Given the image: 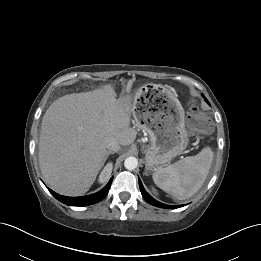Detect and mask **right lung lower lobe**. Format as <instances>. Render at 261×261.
Here are the masks:
<instances>
[{"mask_svg": "<svg viewBox=\"0 0 261 261\" xmlns=\"http://www.w3.org/2000/svg\"><path fill=\"white\" fill-rule=\"evenodd\" d=\"M111 183H112V179L99 192L92 194V195L83 196V197H66V196H62V195L55 193L51 189H49V191L56 199H58L59 201H61L62 203L66 204V205L87 206V205L95 204V203L101 201L108 194Z\"/></svg>", "mask_w": 261, "mask_h": 261, "instance_id": "1", "label": "right lung lower lobe"}]
</instances>
